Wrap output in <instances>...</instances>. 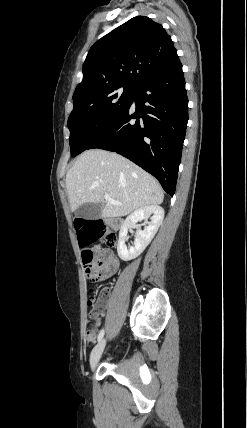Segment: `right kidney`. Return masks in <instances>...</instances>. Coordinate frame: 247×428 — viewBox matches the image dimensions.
Listing matches in <instances>:
<instances>
[{
	"mask_svg": "<svg viewBox=\"0 0 247 428\" xmlns=\"http://www.w3.org/2000/svg\"><path fill=\"white\" fill-rule=\"evenodd\" d=\"M149 218L151 219L150 222L147 221ZM163 218L164 210L158 205L145 206L131 213L126 218L119 232L117 252L120 259L129 261L138 257L154 238ZM142 220H145L147 226H145L144 230L137 229L134 244L127 247L125 242L127 240L128 229L136 226L137 222Z\"/></svg>",
	"mask_w": 247,
	"mask_h": 428,
	"instance_id": "obj_1",
	"label": "right kidney"
}]
</instances>
